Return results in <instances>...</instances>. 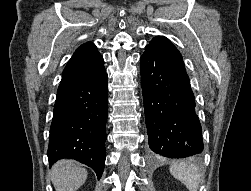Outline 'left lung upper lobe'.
Returning <instances> with one entry per match:
<instances>
[{"instance_id": "1", "label": "left lung upper lobe", "mask_w": 251, "mask_h": 191, "mask_svg": "<svg viewBox=\"0 0 251 191\" xmlns=\"http://www.w3.org/2000/svg\"><path fill=\"white\" fill-rule=\"evenodd\" d=\"M145 50L155 52L161 58L185 68L180 52L177 48L165 37L158 36L150 41V44L145 47Z\"/></svg>"}]
</instances>
